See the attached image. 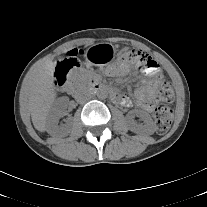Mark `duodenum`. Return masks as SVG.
Masks as SVG:
<instances>
[{
  "label": "duodenum",
  "mask_w": 207,
  "mask_h": 207,
  "mask_svg": "<svg viewBox=\"0 0 207 207\" xmlns=\"http://www.w3.org/2000/svg\"><path fill=\"white\" fill-rule=\"evenodd\" d=\"M67 90L70 91V92H74V87L73 86H68ZM91 90L96 91V92L97 91H109V89L105 85H103V84H101L100 82H97V81L92 82ZM110 93L112 94L113 97L115 96L114 92L110 91Z\"/></svg>",
  "instance_id": "duodenum-1"
}]
</instances>
